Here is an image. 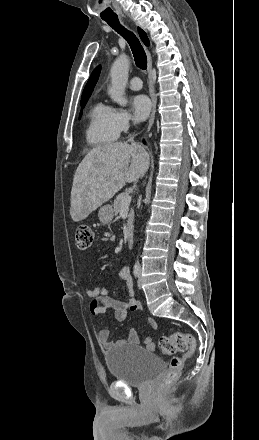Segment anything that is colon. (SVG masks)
<instances>
[{
	"mask_svg": "<svg viewBox=\"0 0 259 440\" xmlns=\"http://www.w3.org/2000/svg\"><path fill=\"white\" fill-rule=\"evenodd\" d=\"M94 239V234L90 226L80 225L75 232V241L80 249L89 248ZM158 348L164 355H172L182 352L183 356L174 357L169 364L168 372L162 381L160 388L166 389L177 381L185 362L191 358L196 351V341L194 337L185 332L176 331L170 335L163 336L158 341Z\"/></svg>",
	"mask_w": 259,
	"mask_h": 440,
	"instance_id": "5ec220e1",
	"label": "colon"
}]
</instances>
